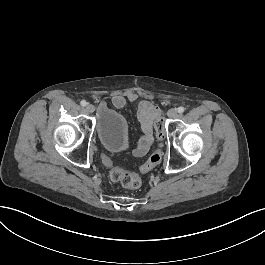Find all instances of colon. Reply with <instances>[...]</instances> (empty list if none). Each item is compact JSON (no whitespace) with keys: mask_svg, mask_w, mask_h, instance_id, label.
I'll list each match as a JSON object with an SVG mask.
<instances>
[{"mask_svg":"<svg viewBox=\"0 0 265 265\" xmlns=\"http://www.w3.org/2000/svg\"><path fill=\"white\" fill-rule=\"evenodd\" d=\"M155 131L156 133V141L158 146H161L163 143V136H164V125L162 120H157L155 124ZM162 158V152L160 150H155L153 151L146 161L141 165L140 167V173L136 172H130V171H125L122 167L120 166H114L108 159V157L104 156L103 161L104 163L110 167L109 171V178L113 182L120 183L123 187L127 189H137L141 186L142 184V179L140 174L149 172L152 170L154 167H156Z\"/></svg>","mask_w":265,"mask_h":265,"instance_id":"colon-1","label":"colon"}]
</instances>
